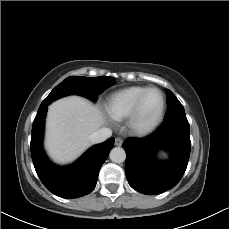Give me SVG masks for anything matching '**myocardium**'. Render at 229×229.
I'll list each match as a JSON object with an SVG mask.
<instances>
[{
  "instance_id": "obj_1",
  "label": "myocardium",
  "mask_w": 229,
  "mask_h": 229,
  "mask_svg": "<svg viewBox=\"0 0 229 229\" xmlns=\"http://www.w3.org/2000/svg\"><path fill=\"white\" fill-rule=\"evenodd\" d=\"M156 91L159 93L161 98V106L157 115L149 122L143 123L141 121V106L146 95L151 92ZM166 109L165 97L162 91L156 87H150L145 90L136 100L129 116H128V128L129 130L137 136H146L153 131H155L158 126L161 124Z\"/></svg>"
}]
</instances>
